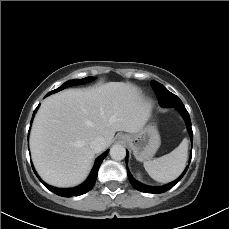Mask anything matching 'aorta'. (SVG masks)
<instances>
[{"mask_svg":"<svg viewBox=\"0 0 229 229\" xmlns=\"http://www.w3.org/2000/svg\"><path fill=\"white\" fill-rule=\"evenodd\" d=\"M125 155H126V150L124 146L120 144H115L110 149V156L114 160L117 161L122 160L125 158Z\"/></svg>","mask_w":229,"mask_h":229,"instance_id":"aorta-1","label":"aorta"}]
</instances>
